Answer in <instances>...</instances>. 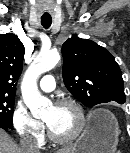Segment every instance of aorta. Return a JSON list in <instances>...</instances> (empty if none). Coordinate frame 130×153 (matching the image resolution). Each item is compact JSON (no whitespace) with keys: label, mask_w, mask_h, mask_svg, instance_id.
Segmentation results:
<instances>
[{"label":"aorta","mask_w":130,"mask_h":153,"mask_svg":"<svg viewBox=\"0 0 130 153\" xmlns=\"http://www.w3.org/2000/svg\"><path fill=\"white\" fill-rule=\"evenodd\" d=\"M59 60L60 55L57 52L42 53L35 58L25 72L21 83V92L23 100L33 116L42 114L51 105V101L39 92L37 79L41 74L53 69Z\"/></svg>","instance_id":"obj_1"}]
</instances>
